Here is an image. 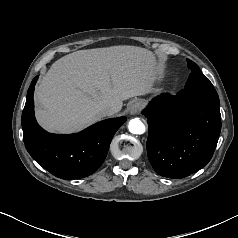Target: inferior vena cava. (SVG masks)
<instances>
[{
    "instance_id": "obj_1",
    "label": "inferior vena cava",
    "mask_w": 238,
    "mask_h": 238,
    "mask_svg": "<svg viewBox=\"0 0 238 238\" xmlns=\"http://www.w3.org/2000/svg\"><path fill=\"white\" fill-rule=\"evenodd\" d=\"M116 110L113 107L102 106L99 108V114L102 117L113 115Z\"/></svg>"
}]
</instances>
